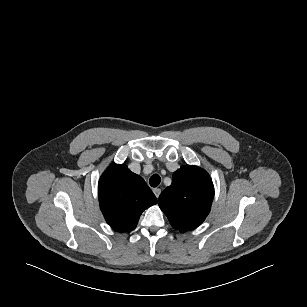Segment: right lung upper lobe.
<instances>
[{"label":"right lung upper lobe","instance_id":"right-lung-upper-lobe-1","mask_svg":"<svg viewBox=\"0 0 307 307\" xmlns=\"http://www.w3.org/2000/svg\"><path fill=\"white\" fill-rule=\"evenodd\" d=\"M98 192L106 222L119 232L135 229L142 212L157 203L144 179L123 164H112L106 169Z\"/></svg>","mask_w":307,"mask_h":307}]
</instances>
